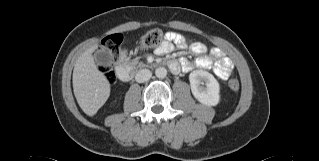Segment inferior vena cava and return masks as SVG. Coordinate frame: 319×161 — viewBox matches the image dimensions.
Segmentation results:
<instances>
[{
    "mask_svg": "<svg viewBox=\"0 0 319 161\" xmlns=\"http://www.w3.org/2000/svg\"><path fill=\"white\" fill-rule=\"evenodd\" d=\"M152 76V73L148 69H141L136 73L135 80L138 83H143L148 81Z\"/></svg>",
    "mask_w": 319,
    "mask_h": 161,
    "instance_id": "inferior-vena-cava-1",
    "label": "inferior vena cava"
}]
</instances>
